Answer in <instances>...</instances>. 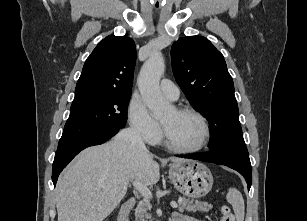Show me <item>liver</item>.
<instances>
[{
  "label": "liver",
  "instance_id": "obj_1",
  "mask_svg": "<svg viewBox=\"0 0 307 221\" xmlns=\"http://www.w3.org/2000/svg\"><path fill=\"white\" fill-rule=\"evenodd\" d=\"M159 178L160 166L147 149L116 138L86 148L58 179V221H103L124 198L129 182L149 186Z\"/></svg>",
  "mask_w": 307,
  "mask_h": 221
}]
</instances>
